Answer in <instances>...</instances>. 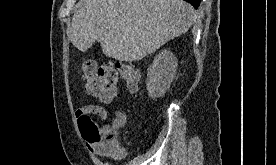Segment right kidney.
<instances>
[{
    "label": "right kidney",
    "instance_id": "ca27d5eb",
    "mask_svg": "<svg viewBox=\"0 0 276 165\" xmlns=\"http://www.w3.org/2000/svg\"><path fill=\"white\" fill-rule=\"evenodd\" d=\"M178 61L169 50H163L148 68L146 87L152 98L161 97L176 77Z\"/></svg>",
    "mask_w": 276,
    "mask_h": 165
}]
</instances>
